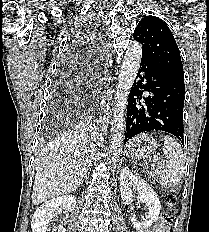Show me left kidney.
<instances>
[{
	"label": "left kidney",
	"mask_w": 209,
	"mask_h": 232,
	"mask_svg": "<svg viewBox=\"0 0 209 232\" xmlns=\"http://www.w3.org/2000/svg\"><path fill=\"white\" fill-rule=\"evenodd\" d=\"M120 190L122 200L125 204H129L133 201L134 190L137 191L138 200L145 203L148 212L145 214L143 221H137L135 217H130V221L137 232H146V230L151 227L152 223L157 221L161 210V203L157 194L148 183L134 175L129 168H123L121 170Z\"/></svg>",
	"instance_id": "left-kidney-1"
}]
</instances>
